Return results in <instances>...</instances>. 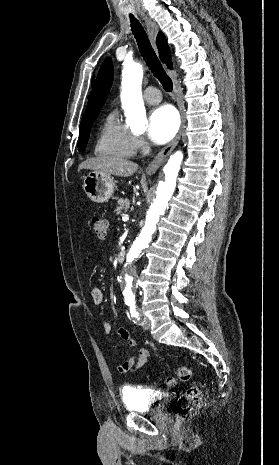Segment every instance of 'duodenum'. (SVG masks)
Masks as SVG:
<instances>
[{
	"instance_id": "obj_1",
	"label": "duodenum",
	"mask_w": 279,
	"mask_h": 465,
	"mask_svg": "<svg viewBox=\"0 0 279 465\" xmlns=\"http://www.w3.org/2000/svg\"><path fill=\"white\" fill-rule=\"evenodd\" d=\"M125 251L124 250H121L117 253V256H116V259L119 263L123 262L125 260Z\"/></svg>"
}]
</instances>
